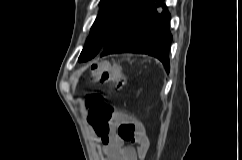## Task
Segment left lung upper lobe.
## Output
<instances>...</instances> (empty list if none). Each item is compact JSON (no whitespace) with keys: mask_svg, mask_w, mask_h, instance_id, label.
I'll use <instances>...</instances> for the list:
<instances>
[{"mask_svg":"<svg viewBox=\"0 0 242 160\" xmlns=\"http://www.w3.org/2000/svg\"><path fill=\"white\" fill-rule=\"evenodd\" d=\"M156 0H101L98 14L80 54L84 62L96 56L104 46Z\"/></svg>","mask_w":242,"mask_h":160,"instance_id":"5c2ea615","label":"left lung upper lobe"}]
</instances>
